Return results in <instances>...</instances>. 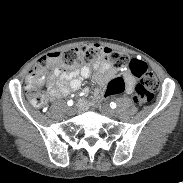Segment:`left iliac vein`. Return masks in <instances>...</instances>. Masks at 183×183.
I'll list each match as a JSON object with an SVG mask.
<instances>
[{"label":"left iliac vein","instance_id":"left-iliac-vein-1","mask_svg":"<svg viewBox=\"0 0 183 183\" xmlns=\"http://www.w3.org/2000/svg\"><path fill=\"white\" fill-rule=\"evenodd\" d=\"M101 112L105 116L110 117V118L113 117V116H115V114H116L115 110H113V109H111V108H109L107 106H102L101 107Z\"/></svg>","mask_w":183,"mask_h":183}]
</instances>
